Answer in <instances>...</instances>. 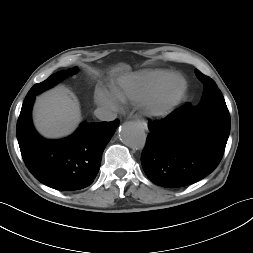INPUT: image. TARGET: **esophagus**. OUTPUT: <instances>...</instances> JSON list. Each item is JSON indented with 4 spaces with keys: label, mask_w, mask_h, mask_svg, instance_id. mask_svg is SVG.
Wrapping results in <instances>:
<instances>
[{
    "label": "esophagus",
    "mask_w": 253,
    "mask_h": 253,
    "mask_svg": "<svg viewBox=\"0 0 253 253\" xmlns=\"http://www.w3.org/2000/svg\"><path fill=\"white\" fill-rule=\"evenodd\" d=\"M139 122L144 130H147L148 126L147 123L142 119H136Z\"/></svg>",
    "instance_id": "34e87169"
}]
</instances>
